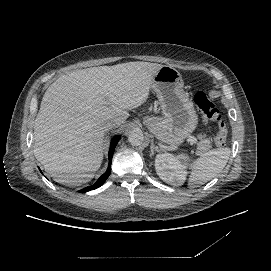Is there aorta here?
<instances>
[{"label": "aorta", "instance_id": "762f6f07", "mask_svg": "<svg viewBox=\"0 0 271 271\" xmlns=\"http://www.w3.org/2000/svg\"><path fill=\"white\" fill-rule=\"evenodd\" d=\"M128 141L132 146H140L144 141V134L141 130L133 131L128 136Z\"/></svg>", "mask_w": 271, "mask_h": 271}]
</instances>
